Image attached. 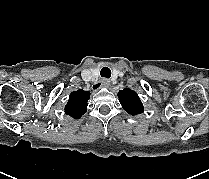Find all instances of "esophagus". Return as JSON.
Instances as JSON below:
<instances>
[{
	"mask_svg": "<svg viewBox=\"0 0 209 179\" xmlns=\"http://www.w3.org/2000/svg\"><path fill=\"white\" fill-rule=\"evenodd\" d=\"M102 87H108L110 85V81L108 79H102L100 82ZM98 85L94 86L93 88H97Z\"/></svg>",
	"mask_w": 209,
	"mask_h": 179,
	"instance_id": "esophagus-1",
	"label": "esophagus"
}]
</instances>
